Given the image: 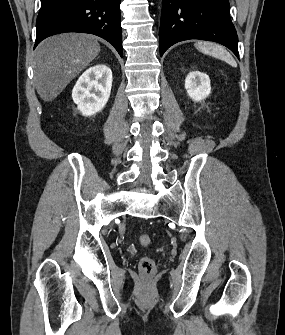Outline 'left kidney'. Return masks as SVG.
<instances>
[{
	"label": "left kidney",
	"instance_id": "obj_1",
	"mask_svg": "<svg viewBox=\"0 0 285 335\" xmlns=\"http://www.w3.org/2000/svg\"><path fill=\"white\" fill-rule=\"evenodd\" d=\"M185 88L194 102H201L211 94L210 78L203 72H189L185 80Z\"/></svg>",
	"mask_w": 285,
	"mask_h": 335
}]
</instances>
